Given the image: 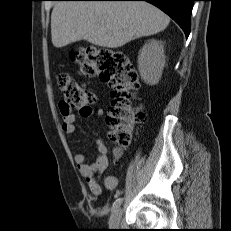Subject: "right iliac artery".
I'll return each instance as SVG.
<instances>
[{
	"label": "right iliac artery",
	"instance_id": "1",
	"mask_svg": "<svg viewBox=\"0 0 231 231\" xmlns=\"http://www.w3.org/2000/svg\"><path fill=\"white\" fill-rule=\"evenodd\" d=\"M123 199L122 198H118L115 200V202L113 203L112 209L116 210L122 203Z\"/></svg>",
	"mask_w": 231,
	"mask_h": 231
}]
</instances>
